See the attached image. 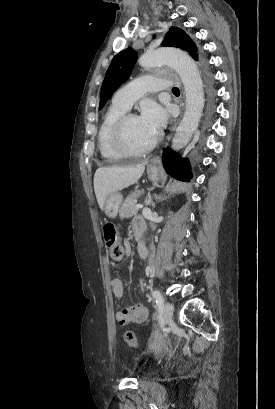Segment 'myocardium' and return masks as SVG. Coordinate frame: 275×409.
<instances>
[{
  "instance_id": "f54148a6",
  "label": "myocardium",
  "mask_w": 275,
  "mask_h": 409,
  "mask_svg": "<svg viewBox=\"0 0 275 409\" xmlns=\"http://www.w3.org/2000/svg\"><path fill=\"white\" fill-rule=\"evenodd\" d=\"M135 113H126L116 123L113 135L115 149L124 156H141L151 152L158 143V136L143 148H135L128 141V125L131 119L137 118Z\"/></svg>"
}]
</instances>
